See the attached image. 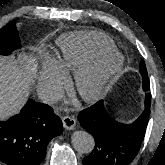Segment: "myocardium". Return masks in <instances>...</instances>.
<instances>
[{"label":"myocardium","instance_id":"myocardium-1","mask_svg":"<svg viewBox=\"0 0 165 165\" xmlns=\"http://www.w3.org/2000/svg\"><path fill=\"white\" fill-rule=\"evenodd\" d=\"M123 65L124 59L117 50L97 54L75 72L76 93L85 102L99 100Z\"/></svg>","mask_w":165,"mask_h":165}]
</instances>
